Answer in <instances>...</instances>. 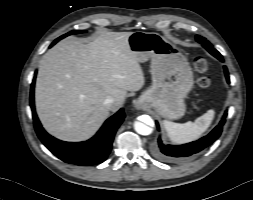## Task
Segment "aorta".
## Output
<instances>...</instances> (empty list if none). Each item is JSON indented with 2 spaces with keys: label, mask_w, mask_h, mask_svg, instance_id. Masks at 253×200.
Here are the masks:
<instances>
[{
  "label": "aorta",
  "mask_w": 253,
  "mask_h": 200,
  "mask_svg": "<svg viewBox=\"0 0 253 200\" xmlns=\"http://www.w3.org/2000/svg\"><path fill=\"white\" fill-rule=\"evenodd\" d=\"M134 129L135 131L140 134V135H150L152 133V128L149 127L148 125L142 123V122H139V121H136L134 123Z\"/></svg>",
  "instance_id": "obj_1"
}]
</instances>
